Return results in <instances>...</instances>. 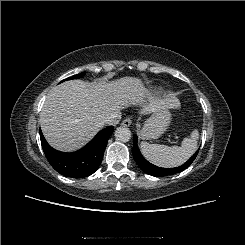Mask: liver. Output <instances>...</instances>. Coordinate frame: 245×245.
<instances>
[{"instance_id":"1","label":"liver","mask_w":245,"mask_h":245,"mask_svg":"<svg viewBox=\"0 0 245 245\" xmlns=\"http://www.w3.org/2000/svg\"><path fill=\"white\" fill-rule=\"evenodd\" d=\"M132 105L140 106L142 114H151L177 108L179 102L172 96L156 97L135 77L94 83L71 80L49 92L40 125L53 148L72 152L92 140L108 117Z\"/></svg>"}]
</instances>
